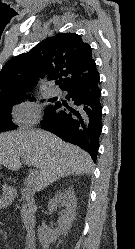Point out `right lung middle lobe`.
<instances>
[{
  "mask_svg": "<svg viewBox=\"0 0 135 249\" xmlns=\"http://www.w3.org/2000/svg\"><path fill=\"white\" fill-rule=\"evenodd\" d=\"M27 98L28 96L26 95H20L0 100V132L9 131L16 128V126L10 120L11 108L13 105L18 104ZM32 100H34V98ZM52 107L53 105H48L45 109V112H47Z\"/></svg>",
  "mask_w": 135,
  "mask_h": 249,
  "instance_id": "dd1d6c3e",
  "label": "right lung middle lobe"
}]
</instances>
